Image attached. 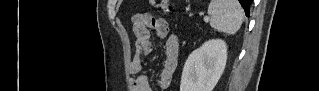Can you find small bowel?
<instances>
[{
    "instance_id": "1",
    "label": "small bowel",
    "mask_w": 319,
    "mask_h": 91,
    "mask_svg": "<svg viewBox=\"0 0 319 91\" xmlns=\"http://www.w3.org/2000/svg\"><path fill=\"white\" fill-rule=\"evenodd\" d=\"M149 30H154L160 38L165 39L164 59L158 85L161 90H166L170 86L172 77L177 69L179 38L170 32V28L163 18L147 13H138L133 16L136 52L130 63V72L132 74H138L142 69V57L150 55L153 51ZM132 90L152 91L148 77L146 75H137L133 78Z\"/></svg>"
}]
</instances>
